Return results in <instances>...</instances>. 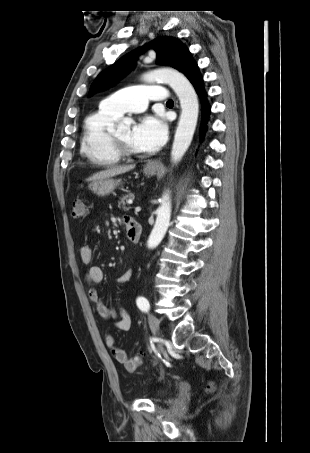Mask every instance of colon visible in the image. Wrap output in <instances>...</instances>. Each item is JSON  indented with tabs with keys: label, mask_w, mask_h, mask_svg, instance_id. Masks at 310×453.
Wrapping results in <instances>:
<instances>
[{
	"label": "colon",
	"mask_w": 310,
	"mask_h": 453,
	"mask_svg": "<svg viewBox=\"0 0 310 453\" xmlns=\"http://www.w3.org/2000/svg\"><path fill=\"white\" fill-rule=\"evenodd\" d=\"M86 214V205L83 200L77 199L72 204V215L75 218H82ZM142 364V358L140 355H135L131 357L126 362V369L128 371H135ZM215 388L213 382H209L206 386L207 391H212Z\"/></svg>",
	"instance_id": "obj_1"
}]
</instances>
